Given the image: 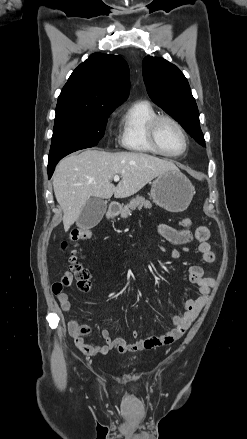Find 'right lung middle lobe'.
Instances as JSON below:
<instances>
[{"instance_id":"right-lung-middle-lobe-1","label":"right lung middle lobe","mask_w":247,"mask_h":439,"mask_svg":"<svg viewBox=\"0 0 247 439\" xmlns=\"http://www.w3.org/2000/svg\"><path fill=\"white\" fill-rule=\"evenodd\" d=\"M114 109L56 108L48 167L66 155L97 145Z\"/></svg>"}]
</instances>
